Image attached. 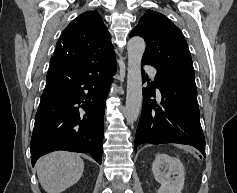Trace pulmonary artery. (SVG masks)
Masks as SVG:
<instances>
[{"label":"pulmonary artery","mask_w":237,"mask_h":193,"mask_svg":"<svg viewBox=\"0 0 237 193\" xmlns=\"http://www.w3.org/2000/svg\"><path fill=\"white\" fill-rule=\"evenodd\" d=\"M145 69H146V71H148L150 74L154 75L155 70H154L153 67H151V66H146Z\"/></svg>","instance_id":"pulmonary-artery-1"}]
</instances>
